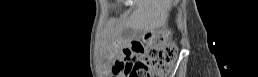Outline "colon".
Returning a JSON list of instances; mask_svg holds the SVG:
<instances>
[{"mask_svg":"<svg viewBox=\"0 0 258 77\" xmlns=\"http://www.w3.org/2000/svg\"><path fill=\"white\" fill-rule=\"evenodd\" d=\"M177 53L166 31L152 32L139 48L127 49L114 70L125 77H163L169 73Z\"/></svg>","mask_w":258,"mask_h":77,"instance_id":"1","label":"colon"}]
</instances>
